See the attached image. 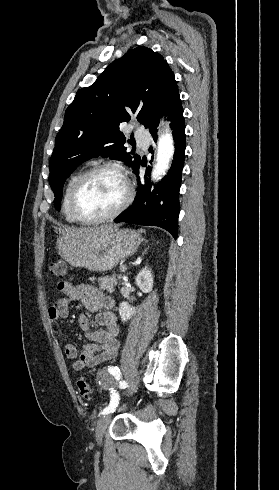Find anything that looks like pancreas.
<instances>
[{"mask_svg": "<svg viewBox=\"0 0 279 490\" xmlns=\"http://www.w3.org/2000/svg\"><path fill=\"white\" fill-rule=\"evenodd\" d=\"M121 276L122 274H113V276H104V278H98L99 288H102V290H108V292H113L114 286H117V280H119ZM94 280H92V282H94Z\"/></svg>", "mask_w": 279, "mask_h": 490, "instance_id": "cf45deb5", "label": "pancreas"}]
</instances>
